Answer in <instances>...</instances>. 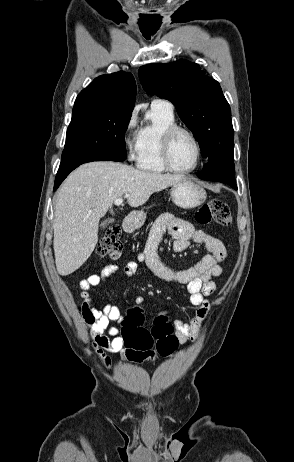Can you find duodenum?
I'll list each match as a JSON object with an SVG mask.
<instances>
[{
  "mask_svg": "<svg viewBox=\"0 0 294 462\" xmlns=\"http://www.w3.org/2000/svg\"><path fill=\"white\" fill-rule=\"evenodd\" d=\"M135 223L133 217L128 215L123 219V229L125 232L130 233L134 230Z\"/></svg>",
  "mask_w": 294,
  "mask_h": 462,
  "instance_id": "obj_1",
  "label": "duodenum"
}]
</instances>
